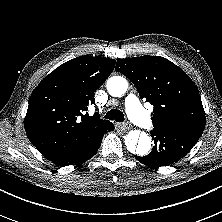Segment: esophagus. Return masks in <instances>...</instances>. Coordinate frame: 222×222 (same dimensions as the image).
<instances>
[{"label": "esophagus", "instance_id": "obj_1", "mask_svg": "<svg viewBox=\"0 0 222 222\" xmlns=\"http://www.w3.org/2000/svg\"><path fill=\"white\" fill-rule=\"evenodd\" d=\"M116 127H118L121 130L126 131L130 128V124H128V123L117 124Z\"/></svg>", "mask_w": 222, "mask_h": 222}]
</instances>
